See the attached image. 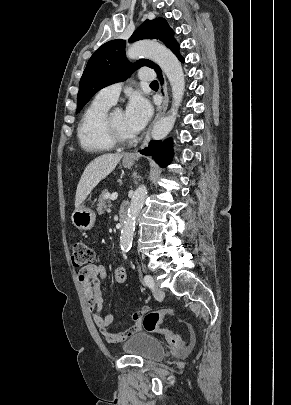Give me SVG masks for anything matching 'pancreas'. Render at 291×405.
<instances>
[{
  "label": "pancreas",
  "mask_w": 291,
  "mask_h": 405,
  "mask_svg": "<svg viewBox=\"0 0 291 405\" xmlns=\"http://www.w3.org/2000/svg\"><path fill=\"white\" fill-rule=\"evenodd\" d=\"M107 195H108V191L104 190L102 192V194L99 196L98 204H97V212L99 214H103L105 212V210L107 209L106 204L110 203V197Z\"/></svg>",
  "instance_id": "1"
}]
</instances>
